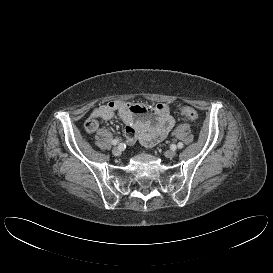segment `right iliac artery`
<instances>
[{"label": "right iliac artery", "mask_w": 273, "mask_h": 273, "mask_svg": "<svg viewBox=\"0 0 273 273\" xmlns=\"http://www.w3.org/2000/svg\"><path fill=\"white\" fill-rule=\"evenodd\" d=\"M119 143V139H114V140H112V144L113 145H117Z\"/></svg>", "instance_id": "right-iliac-artery-1"}]
</instances>
